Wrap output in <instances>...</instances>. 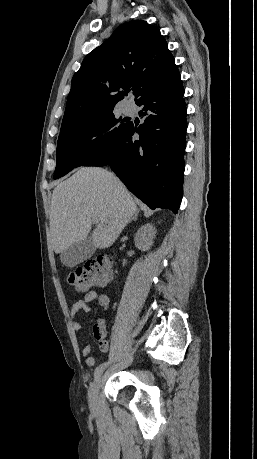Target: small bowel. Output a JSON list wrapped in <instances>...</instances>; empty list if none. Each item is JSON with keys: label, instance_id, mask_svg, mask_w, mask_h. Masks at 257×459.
I'll return each instance as SVG.
<instances>
[{"label": "small bowel", "instance_id": "c3829d8e", "mask_svg": "<svg viewBox=\"0 0 257 459\" xmlns=\"http://www.w3.org/2000/svg\"><path fill=\"white\" fill-rule=\"evenodd\" d=\"M97 300L102 311L108 310L110 306V299L106 294H99L95 290L86 291L83 299H79L72 305L70 314L72 317H76L81 313H89L90 303ZM74 331H80L83 325L80 321L75 320L72 323ZM93 336L97 340L99 348L102 352L109 351V341L107 339V329L103 320H97L92 328ZM82 355L85 358V363L88 367L92 368L95 365V358L92 354V346L90 344L85 345L82 349Z\"/></svg>", "mask_w": 257, "mask_h": 459}]
</instances>
